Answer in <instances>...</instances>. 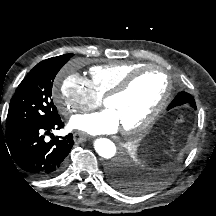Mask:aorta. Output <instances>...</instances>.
<instances>
[{
  "mask_svg": "<svg viewBox=\"0 0 216 216\" xmlns=\"http://www.w3.org/2000/svg\"><path fill=\"white\" fill-rule=\"evenodd\" d=\"M95 151L105 159H111L116 154L115 144L107 138H99L94 142Z\"/></svg>",
  "mask_w": 216,
  "mask_h": 216,
  "instance_id": "1",
  "label": "aorta"
}]
</instances>
